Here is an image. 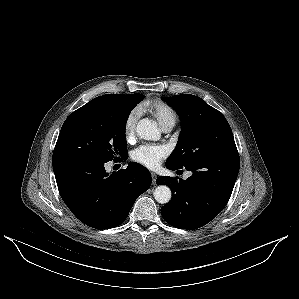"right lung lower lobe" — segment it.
<instances>
[{
    "label": "right lung lower lobe",
    "instance_id": "obj_1",
    "mask_svg": "<svg viewBox=\"0 0 299 299\" xmlns=\"http://www.w3.org/2000/svg\"><path fill=\"white\" fill-rule=\"evenodd\" d=\"M105 163L73 151L53 153L63 201L82 223L99 230L124 222L137 197L151 185L149 171L138 163L112 174L105 171Z\"/></svg>",
    "mask_w": 299,
    "mask_h": 299
}]
</instances>
